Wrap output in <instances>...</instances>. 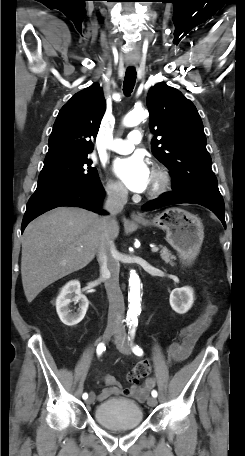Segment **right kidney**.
I'll return each instance as SVG.
<instances>
[{"mask_svg":"<svg viewBox=\"0 0 245 456\" xmlns=\"http://www.w3.org/2000/svg\"><path fill=\"white\" fill-rule=\"evenodd\" d=\"M78 303L79 309L71 313L70 304ZM89 301L81 293L80 282L77 280L69 281L60 291L56 299L57 314L63 324L73 327L80 323L86 315Z\"/></svg>","mask_w":245,"mask_h":456,"instance_id":"right-kidney-1","label":"right kidney"}]
</instances>
